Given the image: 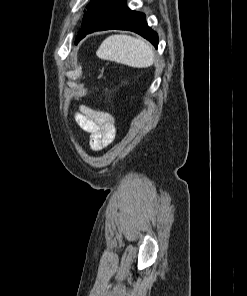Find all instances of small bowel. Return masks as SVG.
<instances>
[{
    "instance_id": "1",
    "label": "small bowel",
    "mask_w": 247,
    "mask_h": 296,
    "mask_svg": "<svg viewBox=\"0 0 247 296\" xmlns=\"http://www.w3.org/2000/svg\"><path fill=\"white\" fill-rule=\"evenodd\" d=\"M78 126L90 135L89 146L98 151L112 142L116 126L111 114L80 105L75 115Z\"/></svg>"
}]
</instances>
